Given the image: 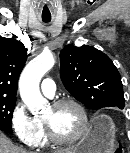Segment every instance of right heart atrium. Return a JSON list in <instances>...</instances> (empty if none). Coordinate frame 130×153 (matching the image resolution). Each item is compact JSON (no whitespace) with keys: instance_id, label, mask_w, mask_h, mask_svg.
Returning a JSON list of instances; mask_svg holds the SVG:
<instances>
[{"instance_id":"d8ad5b80","label":"right heart atrium","mask_w":130,"mask_h":153,"mask_svg":"<svg viewBox=\"0 0 130 153\" xmlns=\"http://www.w3.org/2000/svg\"><path fill=\"white\" fill-rule=\"evenodd\" d=\"M10 123L17 139L26 145L35 146L40 139L35 118L32 117L22 101H18L10 115Z\"/></svg>"}]
</instances>
